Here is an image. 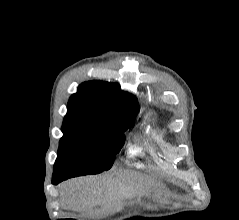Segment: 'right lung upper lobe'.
Segmentation results:
<instances>
[{"mask_svg": "<svg viewBox=\"0 0 239 220\" xmlns=\"http://www.w3.org/2000/svg\"><path fill=\"white\" fill-rule=\"evenodd\" d=\"M139 111L137 98L122 91L117 83H82L68 102L63 123L108 125L134 119Z\"/></svg>", "mask_w": 239, "mask_h": 220, "instance_id": "1", "label": "right lung upper lobe"}]
</instances>
